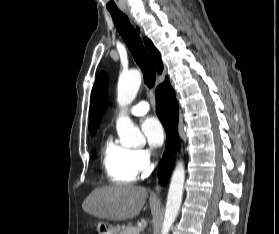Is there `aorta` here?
I'll list each match as a JSON object with an SVG mask.
<instances>
[{"mask_svg": "<svg viewBox=\"0 0 279 234\" xmlns=\"http://www.w3.org/2000/svg\"><path fill=\"white\" fill-rule=\"evenodd\" d=\"M141 85V73L136 70L121 73L117 86V102L121 107L129 105L136 97ZM116 129L120 142L125 147H132L144 141L139 128L124 113H121L116 121ZM185 181V168L179 161L173 171L169 185L167 203L161 234H168L176 220L181 203Z\"/></svg>", "mask_w": 279, "mask_h": 234, "instance_id": "1", "label": "aorta"}]
</instances>
